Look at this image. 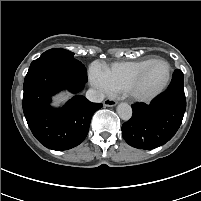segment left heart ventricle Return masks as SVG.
<instances>
[{
	"label": "left heart ventricle",
	"instance_id": "b2bd125f",
	"mask_svg": "<svg viewBox=\"0 0 201 201\" xmlns=\"http://www.w3.org/2000/svg\"><path fill=\"white\" fill-rule=\"evenodd\" d=\"M166 76V64L162 62L154 63L142 77L137 89L141 93H150L156 90L165 81Z\"/></svg>",
	"mask_w": 201,
	"mask_h": 201
}]
</instances>
